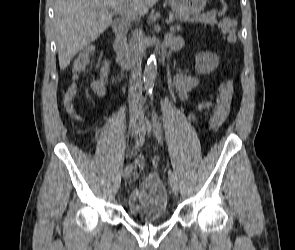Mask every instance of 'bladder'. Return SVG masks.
Returning <instances> with one entry per match:
<instances>
[{
  "instance_id": "bladder-1",
  "label": "bladder",
  "mask_w": 295,
  "mask_h": 250,
  "mask_svg": "<svg viewBox=\"0 0 295 250\" xmlns=\"http://www.w3.org/2000/svg\"><path fill=\"white\" fill-rule=\"evenodd\" d=\"M169 206L167 190L157 173L139 181L131 190L127 209L138 220H160L167 215Z\"/></svg>"
}]
</instances>
